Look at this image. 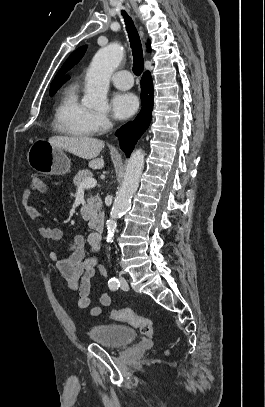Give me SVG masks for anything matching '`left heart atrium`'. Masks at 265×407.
<instances>
[{
	"label": "left heart atrium",
	"instance_id": "obj_1",
	"mask_svg": "<svg viewBox=\"0 0 265 407\" xmlns=\"http://www.w3.org/2000/svg\"><path fill=\"white\" fill-rule=\"evenodd\" d=\"M139 101L133 93L117 92L112 96L111 108L118 119L131 117L138 109Z\"/></svg>",
	"mask_w": 265,
	"mask_h": 407
}]
</instances>
